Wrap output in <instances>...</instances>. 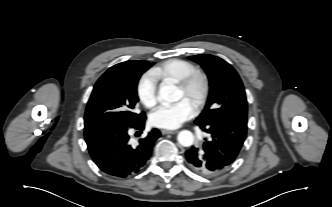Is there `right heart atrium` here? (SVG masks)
<instances>
[{"instance_id":"right-heart-atrium-1","label":"right heart atrium","mask_w":332,"mask_h":207,"mask_svg":"<svg viewBox=\"0 0 332 207\" xmlns=\"http://www.w3.org/2000/svg\"><path fill=\"white\" fill-rule=\"evenodd\" d=\"M136 91L139 100L145 107L152 108L156 105L158 101L157 79L152 73H145L140 77Z\"/></svg>"}]
</instances>
